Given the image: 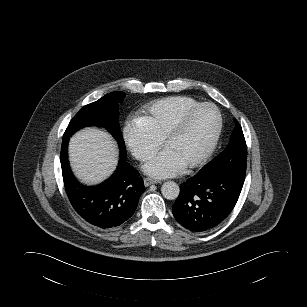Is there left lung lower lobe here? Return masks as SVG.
Here are the masks:
<instances>
[{
    "label": "left lung lower lobe",
    "instance_id": "1",
    "mask_svg": "<svg viewBox=\"0 0 307 307\" xmlns=\"http://www.w3.org/2000/svg\"><path fill=\"white\" fill-rule=\"evenodd\" d=\"M245 174L246 169L211 170L187 179L172 206L176 221L196 232L218 226L236 205Z\"/></svg>",
    "mask_w": 307,
    "mask_h": 307
}]
</instances>
